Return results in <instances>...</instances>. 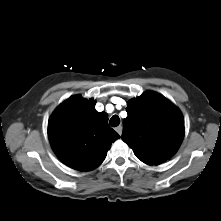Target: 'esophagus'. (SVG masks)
I'll list each match as a JSON object with an SVG mask.
<instances>
[{"mask_svg": "<svg viewBox=\"0 0 221 221\" xmlns=\"http://www.w3.org/2000/svg\"><path fill=\"white\" fill-rule=\"evenodd\" d=\"M122 130H123L122 125H120V126H118V127L116 128V131L118 132L119 135L122 134Z\"/></svg>", "mask_w": 221, "mask_h": 221, "instance_id": "esophagus-1", "label": "esophagus"}]
</instances>
